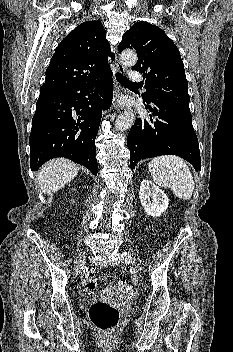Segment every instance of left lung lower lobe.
<instances>
[{"label": "left lung lower lobe", "instance_id": "0a47b994", "mask_svg": "<svg viewBox=\"0 0 233 352\" xmlns=\"http://www.w3.org/2000/svg\"><path fill=\"white\" fill-rule=\"evenodd\" d=\"M142 103L151 114L137 118L128 133L131 169L141 159L170 154L190 162L199 172L201 159L191 112L159 99H142Z\"/></svg>", "mask_w": 233, "mask_h": 352}]
</instances>
